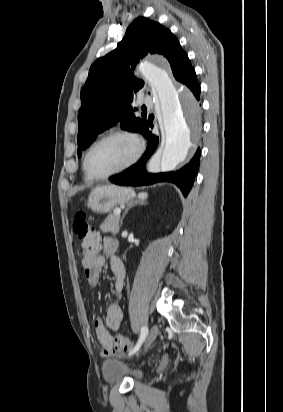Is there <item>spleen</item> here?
I'll return each instance as SVG.
<instances>
[{"mask_svg": "<svg viewBox=\"0 0 283 412\" xmlns=\"http://www.w3.org/2000/svg\"><path fill=\"white\" fill-rule=\"evenodd\" d=\"M138 197L141 198V199H146L147 198V193H140L138 195Z\"/></svg>", "mask_w": 283, "mask_h": 412, "instance_id": "3e777b00", "label": "spleen"}]
</instances>
